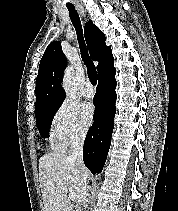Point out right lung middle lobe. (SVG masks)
Listing matches in <instances>:
<instances>
[{
	"label": "right lung middle lobe",
	"instance_id": "right-lung-middle-lobe-1",
	"mask_svg": "<svg viewBox=\"0 0 178 211\" xmlns=\"http://www.w3.org/2000/svg\"><path fill=\"white\" fill-rule=\"evenodd\" d=\"M61 104L52 105L36 114L37 127L42 137H49L48 129L51 126L54 113L58 110Z\"/></svg>",
	"mask_w": 178,
	"mask_h": 211
}]
</instances>
